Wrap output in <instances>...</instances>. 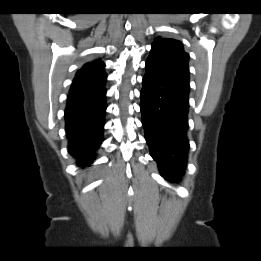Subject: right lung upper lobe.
Wrapping results in <instances>:
<instances>
[{"label": "right lung upper lobe", "instance_id": "1", "mask_svg": "<svg viewBox=\"0 0 261 261\" xmlns=\"http://www.w3.org/2000/svg\"><path fill=\"white\" fill-rule=\"evenodd\" d=\"M104 68L105 65L100 59L86 63L77 72L70 92L89 90L104 84L106 80Z\"/></svg>", "mask_w": 261, "mask_h": 261}]
</instances>
